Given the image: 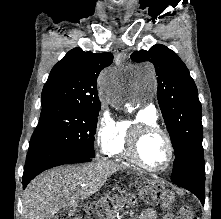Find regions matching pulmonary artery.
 Instances as JSON below:
<instances>
[{
	"label": "pulmonary artery",
	"mask_w": 221,
	"mask_h": 219,
	"mask_svg": "<svg viewBox=\"0 0 221 219\" xmlns=\"http://www.w3.org/2000/svg\"><path fill=\"white\" fill-rule=\"evenodd\" d=\"M144 110L156 115V107L154 105H148Z\"/></svg>",
	"instance_id": "e3ab8cb5"
}]
</instances>
